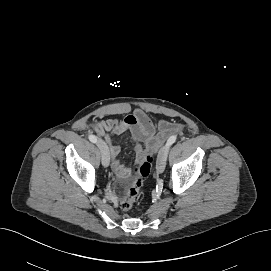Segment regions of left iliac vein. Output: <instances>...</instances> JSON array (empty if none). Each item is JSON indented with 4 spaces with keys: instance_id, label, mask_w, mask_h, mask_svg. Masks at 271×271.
<instances>
[{
    "instance_id": "4c4485c4",
    "label": "left iliac vein",
    "mask_w": 271,
    "mask_h": 271,
    "mask_svg": "<svg viewBox=\"0 0 271 271\" xmlns=\"http://www.w3.org/2000/svg\"><path fill=\"white\" fill-rule=\"evenodd\" d=\"M167 153H168L167 146L162 147L158 153L156 161V170L158 173H163L165 170Z\"/></svg>"
}]
</instances>
